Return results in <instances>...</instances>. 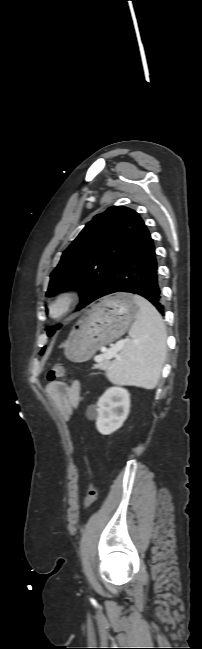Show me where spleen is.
I'll return each instance as SVG.
<instances>
[{
    "instance_id": "spleen-1",
    "label": "spleen",
    "mask_w": 202,
    "mask_h": 649,
    "mask_svg": "<svg viewBox=\"0 0 202 649\" xmlns=\"http://www.w3.org/2000/svg\"><path fill=\"white\" fill-rule=\"evenodd\" d=\"M139 313L129 331L131 338L112 363L107 374L116 384H133L146 389L156 387L166 354V327L156 308L140 295H134Z\"/></svg>"
}]
</instances>
